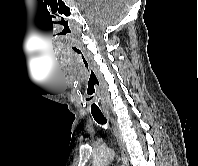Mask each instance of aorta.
<instances>
[{
  "label": "aorta",
  "instance_id": "1",
  "mask_svg": "<svg viewBox=\"0 0 198 166\" xmlns=\"http://www.w3.org/2000/svg\"><path fill=\"white\" fill-rule=\"evenodd\" d=\"M114 155V151L110 148L100 150L94 156L93 166H108L113 160Z\"/></svg>",
  "mask_w": 198,
  "mask_h": 166
}]
</instances>
